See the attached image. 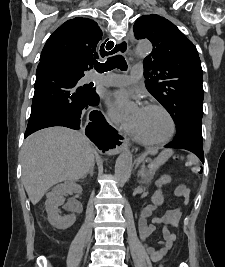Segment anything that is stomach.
<instances>
[{"label":"stomach","mask_w":225,"mask_h":267,"mask_svg":"<svg viewBox=\"0 0 225 267\" xmlns=\"http://www.w3.org/2000/svg\"><path fill=\"white\" fill-rule=\"evenodd\" d=\"M161 159H163L165 161L166 160V157H161Z\"/></svg>","instance_id":"1"}]
</instances>
